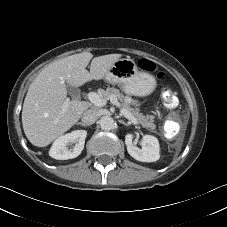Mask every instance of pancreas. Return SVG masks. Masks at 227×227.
Instances as JSON below:
<instances>
[{"instance_id":"cf45deb5","label":"pancreas","mask_w":227,"mask_h":227,"mask_svg":"<svg viewBox=\"0 0 227 227\" xmlns=\"http://www.w3.org/2000/svg\"><path fill=\"white\" fill-rule=\"evenodd\" d=\"M100 95L107 100L110 96H115L117 99L120 100L122 108L127 110L137 120L139 124H141L144 128L155 132L156 125L153 120L154 117L144 116L142 113H140V110L138 108H133L129 104L125 103L124 96L120 93L118 89L109 87L106 90H103Z\"/></svg>"}]
</instances>
